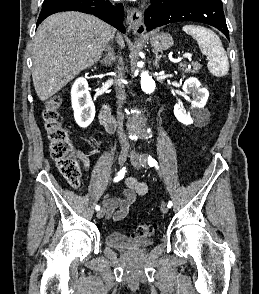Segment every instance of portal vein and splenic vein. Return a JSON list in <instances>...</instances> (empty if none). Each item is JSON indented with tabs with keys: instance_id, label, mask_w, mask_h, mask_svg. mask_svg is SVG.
<instances>
[{
	"instance_id": "obj_1",
	"label": "portal vein and splenic vein",
	"mask_w": 259,
	"mask_h": 294,
	"mask_svg": "<svg viewBox=\"0 0 259 294\" xmlns=\"http://www.w3.org/2000/svg\"><path fill=\"white\" fill-rule=\"evenodd\" d=\"M183 56H184V58L191 59L192 54L191 53H185Z\"/></svg>"
}]
</instances>
